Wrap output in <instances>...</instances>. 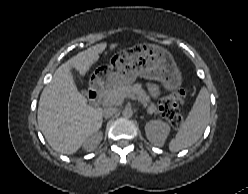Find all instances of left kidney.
<instances>
[{"label":"left kidney","instance_id":"5707ae66","mask_svg":"<svg viewBox=\"0 0 248 194\" xmlns=\"http://www.w3.org/2000/svg\"><path fill=\"white\" fill-rule=\"evenodd\" d=\"M145 132L147 139L155 146H163L170 132L167 123L160 120H152L146 123Z\"/></svg>","mask_w":248,"mask_h":194}]
</instances>
